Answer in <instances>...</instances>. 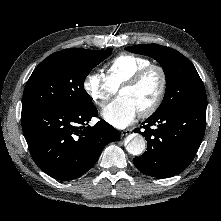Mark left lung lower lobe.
Listing matches in <instances>:
<instances>
[{"mask_svg":"<svg viewBox=\"0 0 221 221\" xmlns=\"http://www.w3.org/2000/svg\"><path fill=\"white\" fill-rule=\"evenodd\" d=\"M206 109H169L154 113L134 131L145 136L147 151L134 158L142 173L166 178L192 162L205 133ZM157 126L152 129L151 126Z\"/></svg>","mask_w":221,"mask_h":221,"instance_id":"0a47b994","label":"left lung lower lobe"}]
</instances>
